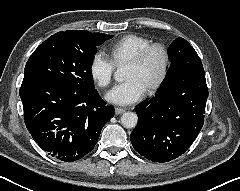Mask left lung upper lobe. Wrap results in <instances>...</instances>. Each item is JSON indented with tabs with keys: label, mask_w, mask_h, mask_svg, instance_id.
<instances>
[{
	"label": "left lung upper lobe",
	"mask_w": 240,
	"mask_h": 191,
	"mask_svg": "<svg viewBox=\"0 0 240 191\" xmlns=\"http://www.w3.org/2000/svg\"><path fill=\"white\" fill-rule=\"evenodd\" d=\"M168 56L170 59V67L160 87H163L170 78L184 71L182 69L186 67L196 65L198 68H203L201 60L194 48L188 41L181 37L176 38L169 46Z\"/></svg>",
	"instance_id": "5c2ea615"
}]
</instances>
